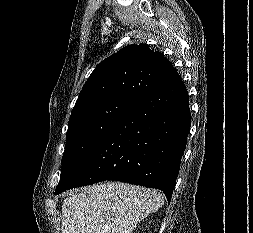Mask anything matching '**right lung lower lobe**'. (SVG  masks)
Here are the masks:
<instances>
[{
	"mask_svg": "<svg viewBox=\"0 0 253 233\" xmlns=\"http://www.w3.org/2000/svg\"><path fill=\"white\" fill-rule=\"evenodd\" d=\"M190 124L188 92L176 73L136 99L59 182L55 194L116 180L159 189L170 202Z\"/></svg>",
	"mask_w": 253,
	"mask_h": 233,
	"instance_id": "right-lung-lower-lobe-1",
	"label": "right lung lower lobe"
}]
</instances>
